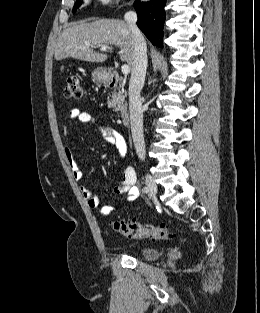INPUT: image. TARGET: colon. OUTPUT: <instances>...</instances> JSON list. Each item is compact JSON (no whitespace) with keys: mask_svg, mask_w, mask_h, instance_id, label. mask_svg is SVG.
Wrapping results in <instances>:
<instances>
[{"mask_svg":"<svg viewBox=\"0 0 260 313\" xmlns=\"http://www.w3.org/2000/svg\"><path fill=\"white\" fill-rule=\"evenodd\" d=\"M63 95L66 99H80L83 96L81 79L78 76H71L67 79ZM111 226L122 235L135 239L168 240L172 237L163 225H142L137 222L114 220Z\"/></svg>","mask_w":260,"mask_h":313,"instance_id":"obj_1","label":"colon"}]
</instances>
